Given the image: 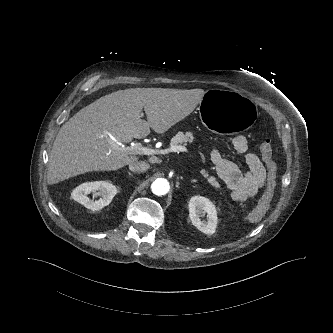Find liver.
<instances>
[{
    "label": "liver",
    "instance_id": "6515ba94",
    "mask_svg": "<svg viewBox=\"0 0 333 333\" xmlns=\"http://www.w3.org/2000/svg\"><path fill=\"white\" fill-rule=\"evenodd\" d=\"M202 89L130 88L103 97L78 111L60 128L49 157L51 184L91 171H111L137 161L114 146L158 134L193 112ZM144 109L147 121L141 118Z\"/></svg>",
    "mask_w": 333,
    "mask_h": 333
}]
</instances>
